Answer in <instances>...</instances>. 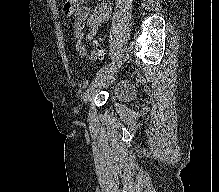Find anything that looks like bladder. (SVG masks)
I'll return each instance as SVG.
<instances>
[{
	"mask_svg": "<svg viewBox=\"0 0 219 192\" xmlns=\"http://www.w3.org/2000/svg\"><path fill=\"white\" fill-rule=\"evenodd\" d=\"M115 94L117 99L125 98L130 94V87L124 85Z\"/></svg>",
	"mask_w": 219,
	"mask_h": 192,
	"instance_id": "31cf9c89",
	"label": "bladder"
}]
</instances>
